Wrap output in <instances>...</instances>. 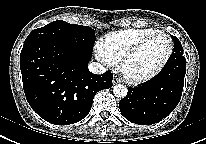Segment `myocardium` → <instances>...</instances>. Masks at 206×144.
Segmentation results:
<instances>
[{
	"mask_svg": "<svg viewBox=\"0 0 206 144\" xmlns=\"http://www.w3.org/2000/svg\"><path fill=\"white\" fill-rule=\"evenodd\" d=\"M157 35H161V36H165L168 39L169 42V49H168V53L166 55V57L164 58V60L162 61V63L152 72L144 74V75H132L127 71V64L128 62L144 47V45L153 37L157 36ZM174 51V43L172 38L170 37L169 34H167L166 32L163 31H155L145 37H143L142 39H140L137 43H135L120 59L119 61V70L122 73V75L124 76V78L126 80H128L129 82L132 83H143V82H147L149 80L154 79L155 77H157L167 66V64L169 63L172 54Z\"/></svg>",
	"mask_w": 206,
	"mask_h": 144,
	"instance_id": "1",
	"label": "myocardium"
}]
</instances>
